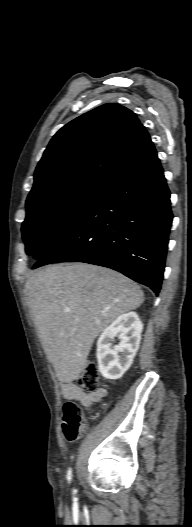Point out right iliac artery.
<instances>
[{"label": "right iliac artery", "instance_id": "82829eb1", "mask_svg": "<svg viewBox=\"0 0 192 527\" xmlns=\"http://www.w3.org/2000/svg\"><path fill=\"white\" fill-rule=\"evenodd\" d=\"M67 478H68L69 481L71 480V469H69V471H68Z\"/></svg>", "mask_w": 192, "mask_h": 527}]
</instances>
